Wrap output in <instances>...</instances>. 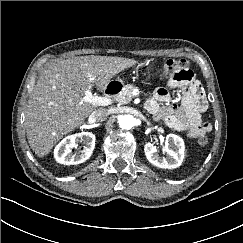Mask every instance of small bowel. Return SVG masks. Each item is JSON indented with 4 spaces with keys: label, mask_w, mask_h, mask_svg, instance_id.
Returning a JSON list of instances; mask_svg holds the SVG:
<instances>
[{
    "label": "small bowel",
    "mask_w": 243,
    "mask_h": 243,
    "mask_svg": "<svg viewBox=\"0 0 243 243\" xmlns=\"http://www.w3.org/2000/svg\"><path fill=\"white\" fill-rule=\"evenodd\" d=\"M171 89L178 90L180 103L161 105L170 102ZM145 107L155 120L163 121L168 127L184 132L190 138H198L211 130V125L202 120L207 100L192 71L184 79L171 78L166 88H157Z\"/></svg>",
    "instance_id": "obj_1"
}]
</instances>
